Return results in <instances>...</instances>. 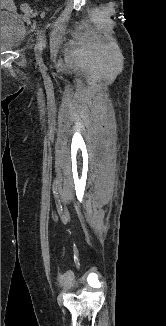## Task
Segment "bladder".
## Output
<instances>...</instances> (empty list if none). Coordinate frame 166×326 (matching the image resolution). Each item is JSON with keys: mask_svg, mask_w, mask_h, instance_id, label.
Returning a JSON list of instances; mask_svg holds the SVG:
<instances>
[{"mask_svg": "<svg viewBox=\"0 0 166 326\" xmlns=\"http://www.w3.org/2000/svg\"><path fill=\"white\" fill-rule=\"evenodd\" d=\"M24 36V20L11 12L1 11V52L17 48Z\"/></svg>", "mask_w": 166, "mask_h": 326, "instance_id": "1", "label": "bladder"}]
</instances>
